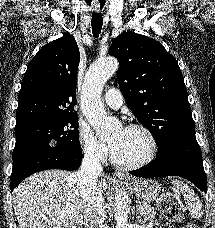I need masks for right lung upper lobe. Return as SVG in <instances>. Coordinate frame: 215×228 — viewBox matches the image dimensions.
<instances>
[{"label": "right lung upper lobe", "mask_w": 215, "mask_h": 228, "mask_svg": "<svg viewBox=\"0 0 215 228\" xmlns=\"http://www.w3.org/2000/svg\"><path fill=\"white\" fill-rule=\"evenodd\" d=\"M79 61V48L70 34L44 45L25 72L16 123L39 117L77 115L74 106Z\"/></svg>", "instance_id": "obj_1"}]
</instances>
